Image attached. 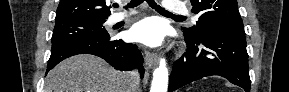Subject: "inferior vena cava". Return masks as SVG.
<instances>
[{
	"instance_id": "obj_1",
	"label": "inferior vena cava",
	"mask_w": 289,
	"mask_h": 92,
	"mask_svg": "<svg viewBox=\"0 0 289 92\" xmlns=\"http://www.w3.org/2000/svg\"><path fill=\"white\" fill-rule=\"evenodd\" d=\"M126 82L128 84V91H135L138 89L139 73L137 70H133L126 73Z\"/></svg>"
}]
</instances>
